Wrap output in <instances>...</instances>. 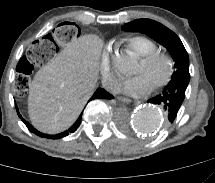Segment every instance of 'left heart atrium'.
<instances>
[{"instance_id": "left-heart-atrium-1", "label": "left heart atrium", "mask_w": 215, "mask_h": 183, "mask_svg": "<svg viewBox=\"0 0 215 183\" xmlns=\"http://www.w3.org/2000/svg\"><path fill=\"white\" fill-rule=\"evenodd\" d=\"M152 84L144 74L125 79L121 84V90L131 95H144L152 90Z\"/></svg>"}]
</instances>
